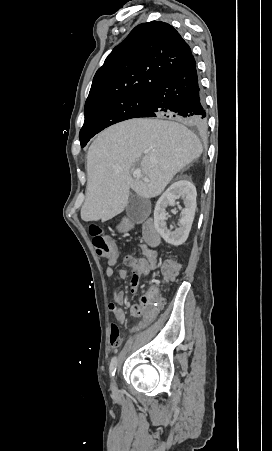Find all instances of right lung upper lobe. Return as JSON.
<instances>
[{"label": "right lung upper lobe", "instance_id": "1", "mask_svg": "<svg viewBox=\"0 0 272 451\" xmlns=\"http://www.w3.org/2000/svg\"><path fill=\"white\" fill-rule=\"evenodd\" d=\"M191 56L171 25L152 21L136 26L97 70L84 110L117 97L150 95Z\"/></svg>", "mask_w": 272, "mask_h": 451}]
</instances>
